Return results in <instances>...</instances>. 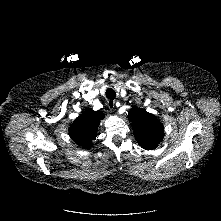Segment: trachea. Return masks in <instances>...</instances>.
I'll return each instance as SVG.
<instances>
[{"label": "trachea", "instance_id": "trachea-1", "mask_svg": "<svg viewBox=\"0 0 221 221\" xmlns=\"http://www.w3.org/2000/svg\"><path fill=\"white\" fill-rule=\"evenodd\" d=\"M106 97L109 99H115V97H116L115 91L112 88H108L106 90Z\"/></svg>", "mask_w": 221, "mask_h": 221}]
</instances>
